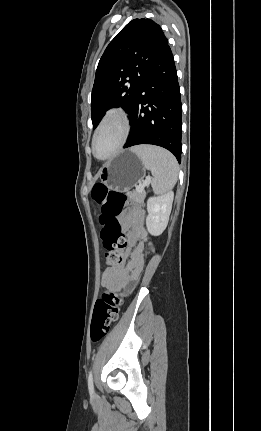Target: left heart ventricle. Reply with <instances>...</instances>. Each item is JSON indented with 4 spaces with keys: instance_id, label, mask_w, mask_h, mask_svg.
Instances as JSON below:
<instances>
[{
    "instance_id": "left-heart-ventricle-1",
    "label": "left heart ventricle",
    "mask_w": 261,
    "mask_h": 431,
    "mask_svg": "<svg viewBox=\"0 0 261 431\" xmlns=\"http://www.w3.org/2000/svg\"><path fill=\"white\" fill-rule=\"evenodd\" d=\"M122 133L121 124L113 120L106 124L98 133L95 141V153L98 157L110 154L120 141Z\"/></svg>"
}]
</instances>
